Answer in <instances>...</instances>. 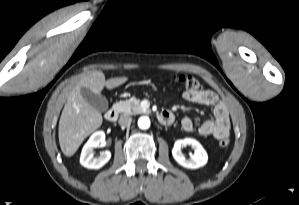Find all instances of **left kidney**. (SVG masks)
Instances as JSON below:
<instances>
[{
    "label": "left kidney",
    "instance_id": "left-kidney-1",
    "mask_svg": "<svg viewBox=\"0 0 299 205\" xmlns=\"http://www.w3.org/2000/svg\"><path fill=\"white\" fill-rule=\"evenodd\" d=\"M186 145H190L194 149V154L191 155L190 159H186L181 151V148ZM172 155L179 165L188 169H197L204 166L208 161L207 152L203 146L193 138L177 140L172 149Z\"/></svg>",
    "mask_w": 299,
    "mask_h": 205
}]
</instances>
